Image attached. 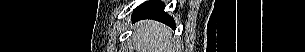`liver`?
<instances>
[{
  "label": "liver",
  "instance_id": "obj_1",
  "mask_svg": "<svg viewBox=\"0 0 305 52\" xmlns=\"http://www.w3.org/2000/svg\"><path fill=\"white\" fill-rule=\"evenodd\" d=\"M136 52H174L171 30L156 21H141L133 33Z\"/></svg>",
  "mask_w": 305,
  "mask_h": 52
}]
</instances>
